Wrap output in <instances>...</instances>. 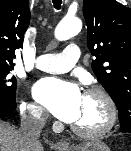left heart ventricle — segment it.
Here are the masks:
<instances>
[{
	"mask_svg": "<svg viewBox=\"0 0 131 151\" xmlns=\"http://www.w3.org/2000/svg\"><path fill=\"white\" fill-rule=\"evenodd\" d=\"M107 119V110L103 101L95 96L83 95L82 104L74 125L84 129L102 126Z\"/></svg>",
	"mask_w": 131,
	"mask_h": 151,
	"instance_id": "obj_1",
	"label": "left heart ventricle"
}]
</instances>
